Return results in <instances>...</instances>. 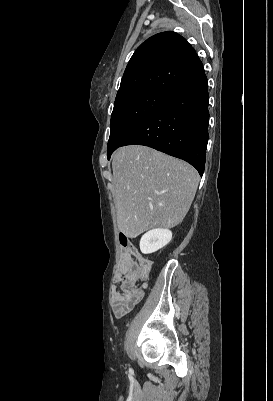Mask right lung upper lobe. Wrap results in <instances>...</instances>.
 <instances>
[{
    "label": "right lung upper lobe",
    "instance_id": "obj_1",
    "mask_svg": "<svg viewBox=\"0 0 273 401\" xmlns=\"http://www.w3.org/2000/svg\"><path fill=\"white\" fill-rule=\"evenodd\" d=\"M204 72L194 48L175 32L156 34L132 55L116 99L139 93L168 94Z\"/></svg>",
    "mask_w": 273,
    "mask_h": 401
}]
</instances>
